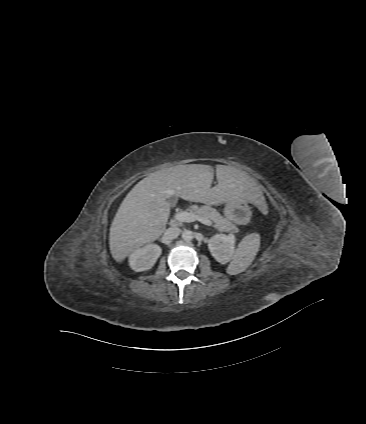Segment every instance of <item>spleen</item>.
<instances>
[{
    "mask_svg": "<svg viewBox=\"0 0 366 424\" xmlns=\"http://www.w3.org/2000/svg\"><path fill=\"white\" fill-rule=\"evenodd\" d=\"M260 248V235L252 233L247 235L239 243L230 264L227 267V273L236 275L245 271L253 262Z\"/></svg>",
    "mask_w": 366,
    "mask_h": 424,
    "instance_id": "1",
    "label": "spleen"
}]
</instances>
